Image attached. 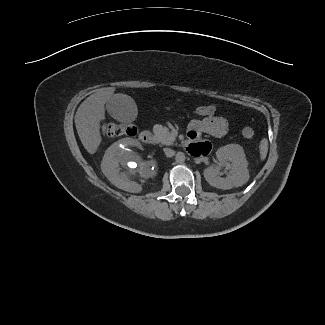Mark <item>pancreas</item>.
I'll use <instances>...</instances> for the list:
<instances>
[{
  "label": "pancreas",
  "mask_w": 325,
  "mask_h": 325,
  "mask_svg": "<svg viewBox=\"0 0 325 325\" xmlns=\"http://www.w3.org/2000/svg\"><path fill=\"white\" fill-rule=\"evenodd\" d=\"M153 132L155 134L157 142H160L163 145H171L175 141V136L170 133L167 127L155 125L153 127Z\"/></svg>",
  "instance_id": "pancreas-1"
}]
</instances>
